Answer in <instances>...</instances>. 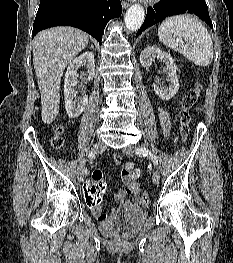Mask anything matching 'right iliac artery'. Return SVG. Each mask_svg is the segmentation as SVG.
Returning <instances> with one entry per match:
<instances>
[{"label":"right iliac artery","instance_id":"82829eb1","mask_svg":"<svg viewBox=\"0 0 233 263\" xmlns=\"http://www.w3.org/2000/svg\"><path fill=\"white\" fill-rule=\"evenodd\" d=\"M93 154L92 153H89V157H91Z\"/></svg>","mask_w":233,"mask_h":263}]
</instances>
